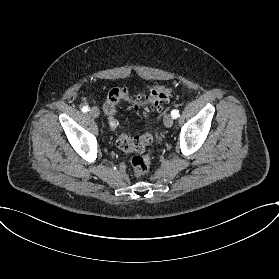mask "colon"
I'll return each instance as SVG.
<instances>
[{
    "mask_svg": "<svg viewBox=\"0 0 279 279\" xmlns=\"http://www.w3.org/2000/svg\"><path fill=\"white\" fill-rule=\"evenodd\" d=\"M171 93V88L162 84L155 85L146 92L136 95L131 94L126 88L113 87L107 93L103 112L109 119H113L117 104L126 102L134 112L148 114L153 110H158L169 99ZM114 128L116 129L115 125ZM152 141L153 137L150 133L139 137H131L126 133L119 132L117 145L125 153L130 151L144 153ZM131 163L133 172L137 176H141L148 172L151 165V157L148 154L137 155L132 158Z\"/></svg>",
    "mask_w": 279,
    "mask_h": 279,
    "instance_id": "5ec220e1",
    "label": "colon"
}]
</instances>
